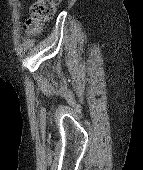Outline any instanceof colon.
Segmentation results:
<instances>
[{
  "label": "colon",
  "mask_w": 143,
  "mask_h": 170,
  "mask_svg": "<svg viewBox=\"0 0 143 170\" xmlns=\"http://www.w3.org/2000/svg\"><path fill=\"white\" fill-rule=\"evenodd\" d=\"M61 0H36L30 8L26 27L31 32L41 30L45 22L52 18Z\"/></svg>",
  "instance_id": "5ec220e1"
}]
</instances>
